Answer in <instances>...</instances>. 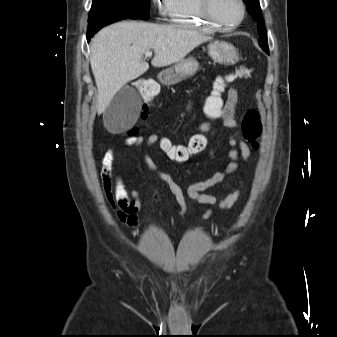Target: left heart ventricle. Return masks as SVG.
I'll return each instance as SVG.
<instances>
[{
    "label": "left heart ventricle",
    "mask_w": 337,
    "mask_h": 337,
    "mask_svg": "<svg viewBox=\"0 0 337 337\" xmlns=\"http://www.w3.org/2000/svg\"><path fill=\"white\" fill-rule=\"evenodd\" d=\"M213 12L219 21L226 24H232L241 17V8L237 0H214Z\"/></svg>",
    "instance_id": "left-heart-ventricle-1"
}]
</instances>
